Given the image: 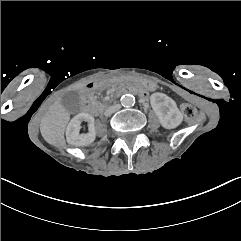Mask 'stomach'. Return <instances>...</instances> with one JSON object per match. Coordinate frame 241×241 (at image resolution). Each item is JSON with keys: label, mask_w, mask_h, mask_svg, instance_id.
<instances>
[{"label": "stomach", "mask_w": 241, "mask_h": 241, "mask_svg": "<svg viewBox=\"0 0 241 241\" xmlns=\"http://www.w3.org/2000/svg\"><path fill=\"white\" fill-rule=\"evenodd\" d=\"M111 82L115 85L138 84V85H141L148 90H155L157 88V84L153 80L138 77V76H133V75H127V74H124V73H121V72L115 73L111 77Z\"/></svg>", "instance_id": "stomach-1"}]
</instances>
